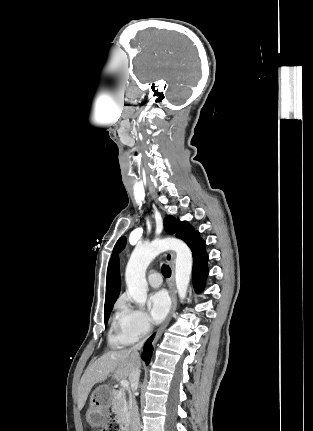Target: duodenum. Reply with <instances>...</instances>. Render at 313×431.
I'll return each mask as SVG.
<instances>
[{
    "mask_svg": "<svg viewBox=\"0 0 313 431\" xmlns=\"http://www.w3.org/2000/svg\"><path fill=\"white\" fill-rule=\"evenodd\" d=\"M122 425L123 431H137L131 416H126Z\"/></svg>",
    "mask_w": 313,
    "mask_h": 431,
    "instance_id": "obj_1",
    "label": "duodenum"
}]
</instances>
